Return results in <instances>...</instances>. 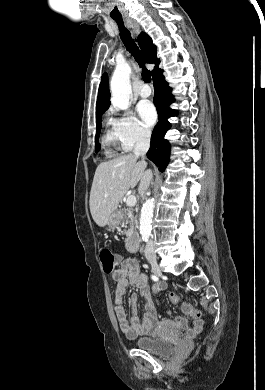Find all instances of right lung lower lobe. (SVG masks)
Listing matches in <instances>:
<instances>
[{
    "instance_id": "right-lung-lower-lobe-1",
    "label": "right lung lower lobe",
    "mask_w": 265,
    "mask_h": 390,
    "mask_svg": "<svg viewBox=\"0 0 265 390\" xmlns=\"http://www.w3.org/2000/svg\"><path fill=\"white\" fill-rule=\"evenodd\" d=\"M153 82L155 91L154 104L158 112L159 122L153 130L147 157L163 172L169 162L170 155V144L164 139L165 133L171 127L167 119L175 116L177 111L169 107L174 98L171 94V88L163 76V70H160L153 76Z\"/></svg>"
}]
</instances>
